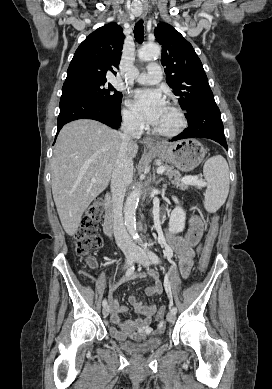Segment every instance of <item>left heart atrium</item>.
I'll return each instance as SVG.
<instances>
[{"label": "left heart atrium", "instance_id": "obj_1", "mask_svg": "<svg viewBox=\"0 0 272 389\" xmlns=\"http://www.w3.org/2000/svg\"><path fill=\"white\" fill-rule=\"evenodd\" d=\"M131 98L132 105L143 119L155 125L166 106L161 92L156 89H136L131 93Z\"/></svg>", "mask_w": 272, "mask_h": 389}]
</instances>
